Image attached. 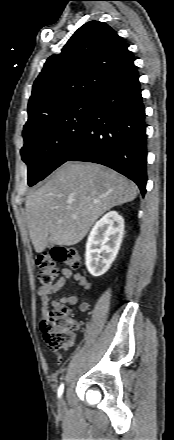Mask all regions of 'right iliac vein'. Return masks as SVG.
Here are the masks:
<instances>
[{
    "instance_id": "right-iliac-vein-1",
    "label": "right iliac vein",
    "mask_w": 174,
    "mask_h": 440,
    "mask_svg": "<svg viewBox=\"0 0 174 440\" xmlns=\"http://www.w3.org/2000/svg\"><path fill=\"white\" fill-rule=\"evenodd\" d=\"M58 412L60 415H64L66 412V404L63 398H61L58 402Z\"/></svg>"
}]
</instances>
